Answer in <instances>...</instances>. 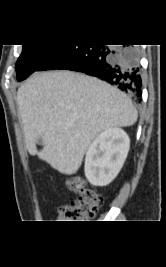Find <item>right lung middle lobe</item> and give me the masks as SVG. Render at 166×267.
Masks as SVG:
<instances>
[{
	"instance_id": "dd1d6c3e",
	"label": "right lung middle lobe",
	"mask_w": 166,
	"mask_h": 267,
	"mask_svg": "<svg viewBox=\"0 0 166 267\" xmlns=\"http://www.w3.org/2000/svg\"><path fill=\"white\" fill-rule=\"evenodd\" d=\"M59 46L57 44L23 45L16 64L17 80L22 81L35 72Z\"/></svg>"
}]
</instances>
